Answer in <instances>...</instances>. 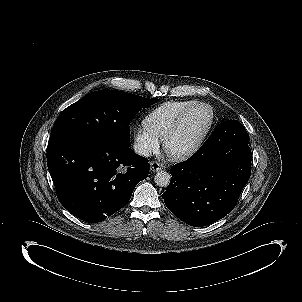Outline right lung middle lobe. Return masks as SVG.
<instances>
[{"label":"right lung middle lobe","instance_id":"dd1d6c3e","mask_svg":"<svg viewBox=\"0 0 302 302\" xmlns=\"http://www.w3.org/2000/svg\"><path fill=\"white\" fill-rule=\"evenodd\" d=\"M157 101L116 90L86 94L60 113L49 141L96 135L130 146V121L142 108Z\"/></svg>","mask_w":302,"mask_h":302}]
</instances>
